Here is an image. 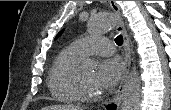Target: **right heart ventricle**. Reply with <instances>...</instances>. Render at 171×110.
I'll list each match as a JSON object with an SVG mask.
<instances>
[{"label":"right heart ventricle","mask_w":171,"mask_h":110,"mask_svg":"<svg viewBox=\"0 0 171 110\" xmlns=\"http://www.w3.org/2000/svg\"><path fill=\"white\" fill-rule=\"evenodd\" d=\"M82 57V53L73 45L64 48L55 57L48 76V86L56 100L64 103L80 101L72 88L71 78Z\"/></svg>","instance_id":"e07e8e85"}]
</instances>
